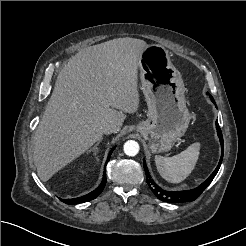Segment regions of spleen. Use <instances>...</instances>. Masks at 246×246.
Instances as JSON below:
<instances>
[{
  "mask_svg": "<svg viewBox=\"0 0 246 246\" xmlns=\"http://www.w3.org/2000/svg\"><path fill=\"white\" fill-rule=\"evenodd\" d=\"M201 144H191L186 150L172 157L155 156L159 174L166 181L180 183L194 170L199 158Z\"/></svg>",
  "mask_w": 246,
  "mask_h": 246,
  "instance_id": "3e777b00",
  "label": "spleen"
}]
</instances>
